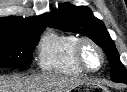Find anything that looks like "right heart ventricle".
<instances>
[{"label": "right heart ventricle", "instance_id": "obj_1", "mask_svg": "<svg viewBox=\"0 0 127 92\" xmlns=\"http://www.w3.org/2000/svg\"><path fill=\"white\" fill-rule=\"evenodd\" d=\"M78 39L79 37L73 33L47 31L39 44L37 57L39 68L45 72L63 75L83 73L74 59V48Z\"/></svg>", "mask_w": 127, "mask_h": 92}]
</instances>
